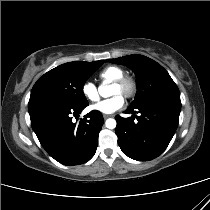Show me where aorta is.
<instances>
[{
	"mask_svg": "<svg viewBox=\"0 0 210 210\" xmlns=\"http://www.w3.org/2000/svg\"><path fill=\"white\" fill-rule=\"evenodd\" d=\"M99 93L102 97H107L109 96V87H100L99 88ZM106 124V127L108 129H114L116 127V120L115 119H112V118H109L106 120L105 122Z\"/></svg>",
	"mask_w": 210,
	"mask_h": 210,
	"instance_id": "obj_1",
	"label": "aorta"
}]
</instances>
